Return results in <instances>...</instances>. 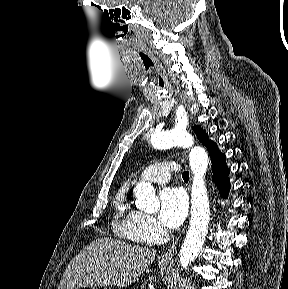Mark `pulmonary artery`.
<instances>
[{
    "label": "pulmonary artery",
    "mask_w": 288,
    "mask_h": 289,
    "mask_svg": "<svg viewBox=\"0 0 288 289\" xmlns=\"http://www.w3.org/2000/svg\"><path fill=\"white\" fill-rule=\"evenodd\" d=\"M179 170V165L172 161H161L147 166L134 180H148L155 183H165L171 174Z\"/></svg>",
    "instance_id": "e3ab8cb5"
}]
</instances>
